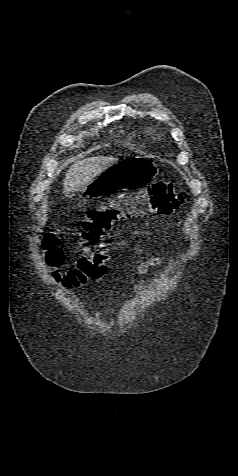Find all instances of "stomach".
Masks as SVG:
<instances>
[{
	"label": "stomach",
	"instance_id": "stomach-1",
	"mask_svg": "<svg viewBox=\"0 0 238 476\" xmlns=\"http://www.w3.org/2000/svg\"><path fill=\"white\" fill-rule=\"evenodd\" d=\"M155 173L147 156H128L97 175L81 193L86 197H104L116 190H142L143 183H151Z\"/></svg>",
	"mask_w": 238,
	"mask_h": 476
}]
</instances>
